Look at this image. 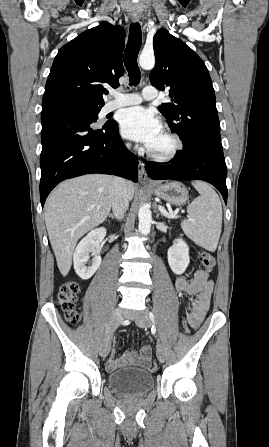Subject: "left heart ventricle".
<instances>
[{
	"instance_id": "1",
	"label": "left heart ventricle",
	"mask_w": 269,
	"mask_h": 447,
	"mask_svg": "<svg viewBox=\"0 0 269 447\" xmlns=\"http://www.w3.org/2000/svg\"><path fill=\"white\" fill-rule=\"evenodd\" d=\"M173 139L166 133L164 129L147 145L150 152L161 155L169 152L173 148Z\"/></svg>"
}]
</instances>
